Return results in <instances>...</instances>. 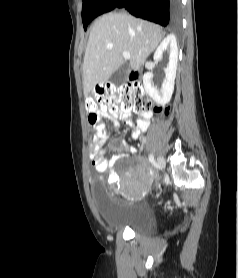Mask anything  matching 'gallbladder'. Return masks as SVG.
Masks as SVG:
<instances>
[{
	"instance_id": "bac80fb5",
	"label": "gallbladder",
	"mask_w": 238,
	"mask_h": 278,
	"mask_svg": "<svg viewBox=\"0 0 238 278\" xmlns=\"http://www.w3.org/2000/svg\"><path fill=\"white\" fill-rule=\"evenodd\" d=\"M128 71V65L122 64L109 78V81L114 85H121L125 82Z\"/></svg>"
}]
</instances>
